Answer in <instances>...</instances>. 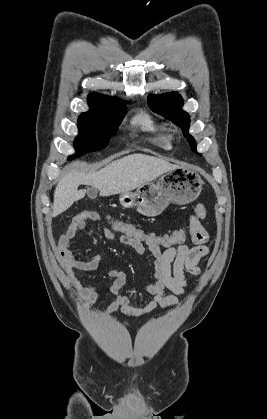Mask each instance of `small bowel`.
<instances>
[{"label":"small bowel","instance_id":"c3829d8e","mask_svg":"<svg viewBox=\"0 0 267 419\" xmlns=\"http://www.w3.org/2000/svg\"><path fill=\"white\" fill-rule=\"evenodd\" d=\"M189 232L194 246L184 244V241L170 247H145L143 245L132 246L135 253L143 255L149 253L154 259V280L146 286L149 297L146 300L133 303L132 300L121 293L127 282V274L118 269L108 272L112 284L108 294L112 297L105 314H112L120 310L130 318H141L156 308L165 309L178 304L179 297L184 294L187 287L186 273L200 275V260L207 256L209 247L207 242L209 235L200 222V218L187 214ZM100 216L95 211H83L76 215L68 227L63 231L56 245V252L59 264L71 287L82 297L83 305L88 308L100 299L101 294L97 292L91 283L84 287L77 279L75 272H88L99 267L100 259L97 256L89 258L78 257L73 249L72 242L78 232L85 230L89 222L99 221ZM103 236L108 240H117L118 237L109 228H104ZM168 289L172 293L166 294Z\"/></svg>","mask_w":267,"mask_h":419}]
</instances>
